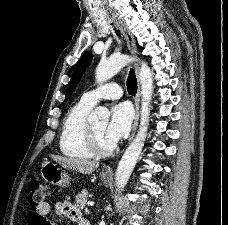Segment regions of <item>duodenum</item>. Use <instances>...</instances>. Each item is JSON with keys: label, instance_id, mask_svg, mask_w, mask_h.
<instances>
[{"label": "duodenum", "instance_id": "410a0bca", "mask_svg": "<svg viewBox=\"0 0 228 225\" xmlns=\"http://www.w3.org/2000/svg\"><path fill=\"white\" fill-rule=\"evenodd\" d=\"M79 225H89V223L84 219H80Z\"/></svg>", "mask_w": 228, "mask_h": 225}]
</instances>
